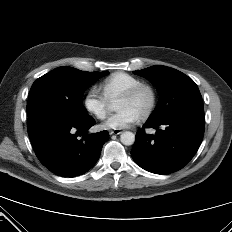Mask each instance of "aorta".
Masks as SVG:
<instances>
[{
    "mask_svg": "<svg viewBox=\"0 0 232 232\" xmlns=\"http://www.w3.org/2000/svg\"><path fill=\"white\" fill-rule=\"evenodd\" d=\"M120 141L122 144L130 146L135 142V135L130 131L123 132L120 135Z\"/></svg>",
    "mask_w": 232,
    "mask_h": 232,
    "instance_id": "obj_1",
    "label": "aorta"
}]
</instances>
